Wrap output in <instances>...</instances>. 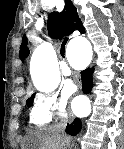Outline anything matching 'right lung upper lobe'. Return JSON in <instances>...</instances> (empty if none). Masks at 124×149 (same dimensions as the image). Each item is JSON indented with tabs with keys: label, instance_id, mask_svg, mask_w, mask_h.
Wrapping results in <instances>:
<instances>
[{
	"label": "right lung upper lobe",
	"instance_id": "right-lung-upper-lobe-1",
	"mask_svg": "<svg viewBox=\"0 0 124 149\" xmlns=\"http://www.w3.org/2000/svg\"><path fill=\"white\" fill-rule=\"evenodd\" d=\"M47 28L49 35L53 38H62L74 31L85 33V28L82 26L77 10L70 0H65V7L61 13L53 12L49 15ZM19 55L22 61L29 55L25 36L20 46Z\"/></svg>",
	"mask_w": 124,
	"mask_h": 149
}]
</instances>
